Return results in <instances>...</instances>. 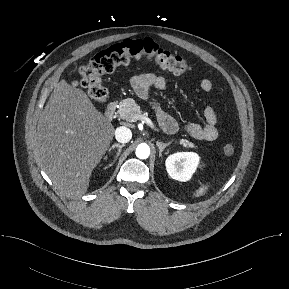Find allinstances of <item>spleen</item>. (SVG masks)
<instances>
[{"mask_svg":"<svg viewBox=\"0 0 289 289\" xmlns=\"http://www.w3.org/2000/svg\"><path fill=\"white\" fill-rule=\"evenodd\" d=\"M207 190H208V186L207 185H203L198 190H196L195 196L199 197V196L203 195Z\"/></svg>","mask_w":289,"mask_h":289,"instance_id":"spleen-1","label":"spleen"}]
</instances>
